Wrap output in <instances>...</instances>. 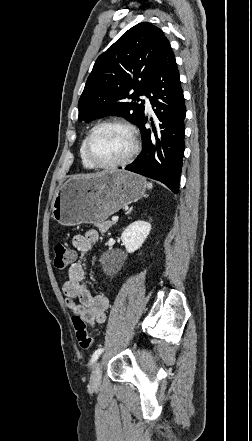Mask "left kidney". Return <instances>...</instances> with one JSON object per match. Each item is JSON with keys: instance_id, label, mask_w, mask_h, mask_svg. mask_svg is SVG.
<instances>
[{"instance_id": "left-kidney-1", "label": "left kidney", "mask_w": 252, "mask_h": 441, "mask_svg": "<svg viewBox=\"0 0 252 441\" xmlns=\"http://www.w3.org/2000/svg\"><path fill=\"white\" fill-rule=\"evenodd\" d=\"M150 230L151 224L146 221L137 220L130 224L121 235L126 251L133 253L138 250L148 237Z\"/></svg>"}]
</instances>
